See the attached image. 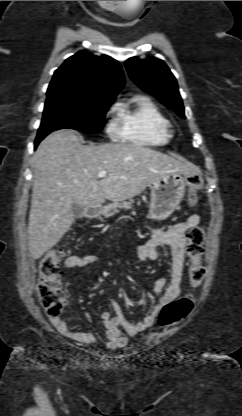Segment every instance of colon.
I'll list each match as a JSON object with an SVG mask.
<instances>
[{"mask_svg": "<svg viewBox=\"0 0 242 416\" xmlns=\"http://www.w3.org/2000/svg\"><path fill=\"white\" fill-rule=\"evenodd\" d=\"M191 189L190 202L196 201L195 191L202 185L201 176L195 174L187 179ZM205 228L196 225L190 228L186 253L189 258V291L177 300L166 304L159 313L158 323L161 327L172 326L191 312L194 303V292L202 283L204 277V267L201 263L204 253ZM65 256V250L61 247L47 251L39 261V278L37 284V295L40 305L50 317H60L65 306V292L62 287L59 275V263Z\"/></svg>", "mask_w": 242, "mask_h": 416, "instance_id": "1", "label": "colon"}]
</instances>
